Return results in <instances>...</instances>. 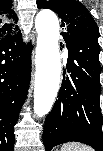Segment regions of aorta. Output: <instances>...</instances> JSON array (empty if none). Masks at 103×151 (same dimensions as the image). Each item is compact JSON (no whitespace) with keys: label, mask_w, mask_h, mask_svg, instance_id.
I'll return each mask as SVG.
<instances>
[{"label":"aorta","mask_w":103,"mask_h":151,"mask_svg":"<svg viewBox=\"0 0 103 151\" xmlns=\"http://www.w3.org/2000/svg\"><path fill=\"white\" fill-rule=\"evenodd\" d=\"M37 46L35 51L34 113L38 117L50 112L60 83L59 21L50 10L40 11L35 19Z\"/></svg>","instance_id":"762f6f07"}]
</instances>
